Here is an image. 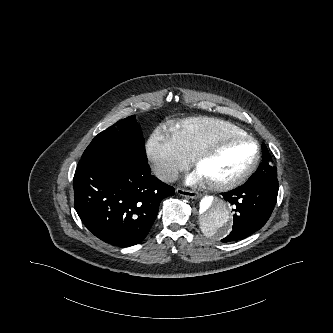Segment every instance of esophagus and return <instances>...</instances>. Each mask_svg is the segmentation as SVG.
<instances>
[{
    "instance_id": "34e87169",
    "label": "esophagus",
    "mask_w": 333,
    "mask_h": 333,
    "mask_svg": "<svg viewBox=\"0 0 333 333\" xmlns=\"http://www.w3.org/2000/svg\"><path fill=\"white\" fill-rule=\"evenodd\" d=\"M176 192L180 196L188 197V198H191V199H197L199 197L197 192L187 190V189H183V188H177Z\"/></svg>"
}]
</instances>
